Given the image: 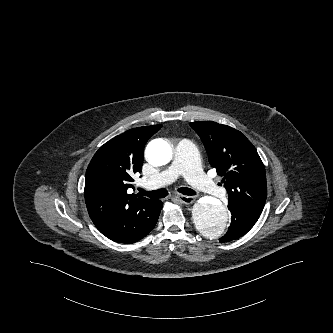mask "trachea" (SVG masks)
<instances>
[{
    "instance_id": "trachea-1",
    "label": "trachea",
    "mask_w": 333,
    "mask_h": 333,
    "mask_svg": "<svg viewBox=\"0 0 333 333\" xmlns=\"http://www.w3.org/2000/svg\"><path fill=\"white\" fill-rule=\"evenodd\" d=\"M140 191H141L140 195L147 196L152 199H161L168 195V191L164 188L154 191H144L140 189ZM178 192L188 196L196 195V192L194 190L185 187L179 188Z\"/></svg>"
}]
</instances>
